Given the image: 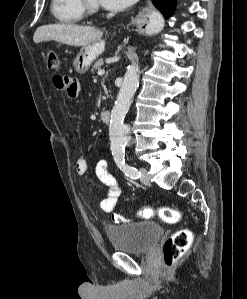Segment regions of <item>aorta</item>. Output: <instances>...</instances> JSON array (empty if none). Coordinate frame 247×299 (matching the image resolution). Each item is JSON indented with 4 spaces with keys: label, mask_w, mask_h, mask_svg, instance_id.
Listing matches in <instances>:
<instances>
[{
    "label": "aorta",
    "mask_w": 247,
    "mask_h": 299,
    "mask_svg": "<svg viewBox=\"0 0 247 299\" xmlns=\"http://www.w3.org/2000/svg\"><path fill=\"white\" fill-rule=\"evenodd\" d=\"M139 85V66L130 65L124 75L115 105L111 111L109 135L110 148L114 156H122L125 146L130 141V128L124 118L130 108L131 101Z\"/></svg>",
    "instance_id": "1"
}]
</instances>
